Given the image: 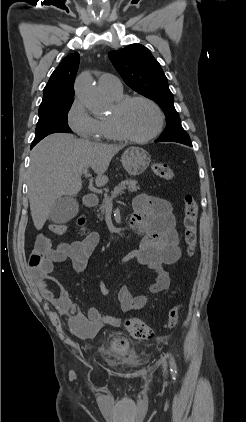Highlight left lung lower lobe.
Listing matches in <instances>:
<instances>
[{"mask_svg":"<svg viewBox=\"0 0 246 422\" xmlns=\"http://www.w3.org/2000/svg\"><path fill=\"white\" fill-rule=\"evenodd\" d=\"M156 142H158V141H156ZM182 144H185V145H188V146H192L191 142H186V143H182Z\"/></svg>","mask_w":246,"mask_h":422,"instance_id":"1","label":"left lung lower lobe"}]
</instances>
